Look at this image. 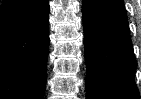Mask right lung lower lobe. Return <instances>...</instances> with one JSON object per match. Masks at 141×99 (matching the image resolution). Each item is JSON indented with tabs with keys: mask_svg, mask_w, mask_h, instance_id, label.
Listing matches in <instances>:
<instances>
[{
	"mask_svg": "<svg viewBox=\"0 0 141 99\" xmlns=\"http://www.w3.org/2000/svg\"><path fill=\"white\" fill-rule=\"evenodd\" d=\"M47 0L0 8V99H43L49 46Z\"/></svg>",
	"mask_w": 141,
	"mask_h": 99,
	"instance_id": "98d812e1",
	"label": "right lung lower lobe"
}]
</instances>
